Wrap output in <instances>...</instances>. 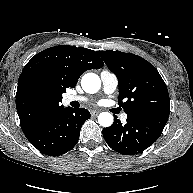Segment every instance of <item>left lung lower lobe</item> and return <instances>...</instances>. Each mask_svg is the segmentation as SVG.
<instances>
[{
  "label": "left lung lower lobe",
  "mask_w": 193,
  "mask_h": 193,
  "mask_svg": "<svg viewBox=\"0 0 193 193\" xmlns=\"http://www.w3.org/2000/svg\"><path fill=\"white\" fill-rule=\"evenodd\" d=\"M168 117L169 113L128 117L125 125L115 118L110 127L103 129V137L116 152L128 155L141 153L159 138Z\"/></svg>",
  "instance_id": "left-lung-lower-lobe-1"
}]
</instances>
